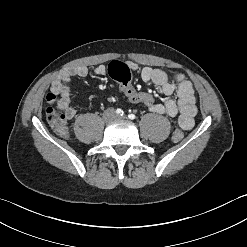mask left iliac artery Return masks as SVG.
<instances>
[{
	"mask_svg": "<svg viewBox=\"0 0 247 247\" xmlns=\"http://www.w3.org/2000/svg\"><path fill=\"white\" fill-rule=\"evenodd\" d=\"M128 118L131 119V120H134L136 118V116L134 114H129Z\"/></svg>",
	"mask_w": 247,
	"mask_h": 247,
	"instance_id": "1",
	"label": "left iliac artery"
}]
</instances>
